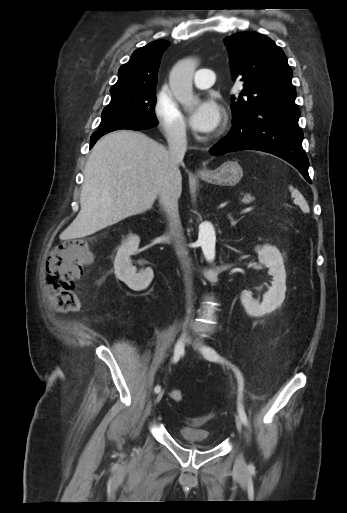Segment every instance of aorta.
<instances>
[{"instance_id": "aorta-1", "label": "aorta", "mask_w": 347, "mask_h": 513, "mask_svg": "<svg viewBox=\"0 0 347 513\" xmlns=\"http://www.w3.org/2000/svg\"><path fill=\"white\" fill-rule=\"evenodd\" d=\"M198 61L193 58L180 60L172 68L169 75V84L174 97L186 109H189L197 99L193 94L192 81ZM199 242L208 262L215 259V230L210 223H203L199 228Z\"/></svg>"}]
</instances>
